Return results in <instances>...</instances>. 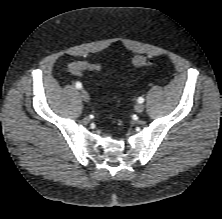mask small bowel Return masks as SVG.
Segmentation results:
<instances>
[{"mask_svg":"<svg viewBox=\"0 0 222 219\" xmlns=\"http://www.w3.org/2000/svg\"><path fill=\"white\" fill-rule=\"evenodd\" d=\"M96 64L87 61H74L68 66L69 71L75 75H80L83 71H95L94 66Z\"/></svg>","mask_w":222,"mask_h":219,"instance_id":"1","label":"small bowel"}]
</instances>
